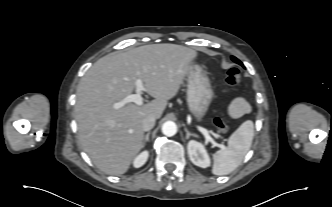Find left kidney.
<instances>
[{"label":"left kidney","mask_w":332,"mask_h":207,"mask_svg":"<svg viewBox=\"0 0 332 207\" xmlns=\"http://www.w3.org/2000/svg\"><path fill=\"white\" fill-rule=\"evenodd\" d=\"M187 150L189 158L194 165L202 168L210 166L209 155L201 143L191 140L188 142Z\"/></svg>","instance_id":"1"}]
</instances>
